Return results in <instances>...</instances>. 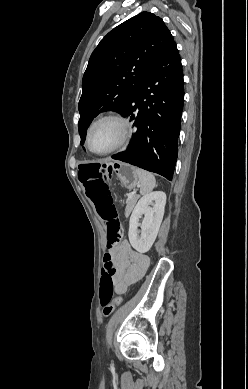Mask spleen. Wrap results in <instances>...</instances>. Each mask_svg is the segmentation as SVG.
Here are the masks:
<instances>
[{
  "label": "spleen",
  "instance_id": "obj_1",
  "mask_svg": "<svg viewBox=\"0 0 248 389\" xmlns=\"http://www.w3.org/2000/svg\"><path fill=\"white\" fill-rule=\"evenodd\" d=\"M135 173L138 177L140 184V193L142 195H147L150 193L156 186V179L154 175L143 169L136 168Z\"/></svg>",
  "mask_w": 248,
  "mask_h": 389
}]
</instances>
